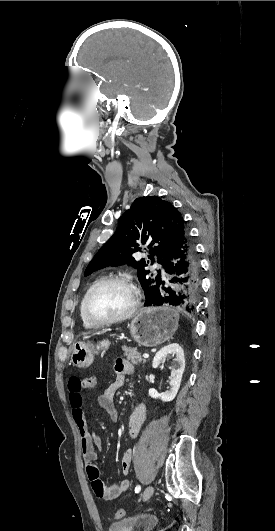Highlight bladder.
I'll return each instance as SVG.
<instances>
[{
    "instance_id": "1",
    "label": "bladder",
    "mask_w": 275,
    "mask_h": 531,
    "mask_svg": "<svg viewBox=\"0 0 275 531\" xmlns=\"http://www.w3.org/2000/svg\"><path fill=\"white\" fill-rule=\"evenodd\" d=\"M158 520L152 514L143 517H126L120 521L111 522L108 531H154Z\"/></svg>"
}]
</instances>
